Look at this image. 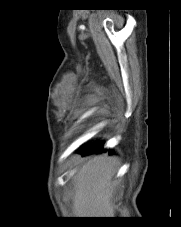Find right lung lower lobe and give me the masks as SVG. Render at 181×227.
I'll return each mask as SVG.
<instances>
[{
    "label": "right lung lower lobe",
    "instance_id": "right-lung-lower-lobe-1",
    "mask_svg": "<svg viewBox=\"0 0 181 227\" xmlns=\"http://www.w3.org/2000/svg\"><path fill=\"white\" fill-rule=\"evenodd\" d=\"M102 149V145H100L99 143H93L92 145H89L88 147H86L83 152L85 154L90 153V152H95V151H99Z\"/></svg>",
    "mask_w": 181,
    "mask_h": 227
}]
</instances>
